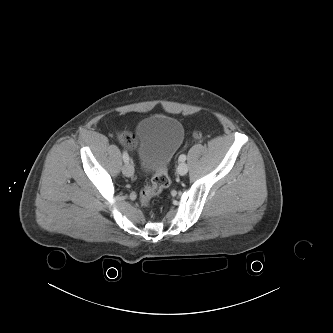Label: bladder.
<instances>
[{
  "mask_svg": "<svg viewBox=\"0 0 333 333\" xmlns=\"http://www.w3.org/2000/svg\"><path fill=\"white\" fill-rule=\"evenodd\" d=\"M184 127L176 118L154 115L136 127V149L145 173L167 166L184 140Z\"/></svg>",
  "mask_w": 333,
  "mask_h": 333,
  "instance_id": "1",
  "label": "bladder"
}]
</instances>
